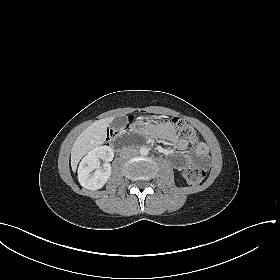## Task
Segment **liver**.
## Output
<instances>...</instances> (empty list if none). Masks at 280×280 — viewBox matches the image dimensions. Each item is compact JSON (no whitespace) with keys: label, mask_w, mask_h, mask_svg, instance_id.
<instances>
[{"label":"liver","mask_w":280,"mask_h":280,"mask_svg":"<svg viewBox=\"0 0 280 280\" xmlns=\"http://www.w3.org/2000/svg\"><path fill=\"white\" fill-rule=\"evenodd\" d=\"M115 117L97 120L89 125L75 140L71 149V167L75 172L81 158L106 140V129Z\"/></svg>","instance_id":"1"}]
</instances>
